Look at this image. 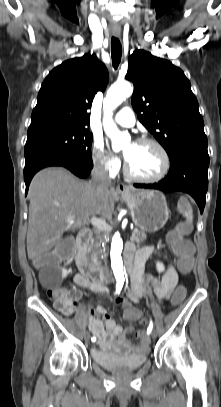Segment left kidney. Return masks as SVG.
Returning <instances> with one entry per match:
<instances>
[{
	"label": "left kidney",
	"instance_id": "obj_1",
	"mask_svg": "<svg viewBox=\"0 0 221 407\" xmlns=\"http://www.w3.org/2000/svg\"><path fill=\"white\" fill-rule=\"evenodd\" d=\"M156 268H157V271H158L159 273L163 272L164 269H165L164 265H163L161 262H157V263H156Z\"/></svg>",
	"mask_w": 221,
	"mask_h": 407
}]
</instances>
